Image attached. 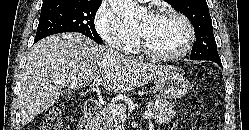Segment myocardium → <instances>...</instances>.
Listing matches in <instances>:
<instances>
[{"instance_id":"myocardium-1","label":"myocardium","mask_w":249,"mask_h":130,"mask_svg":"<svg viewBox=\"0 0 249 130\" xmlns=\"http://www.w3.org/2000/svg\"><path fill=\"white\" fill-rule=\"evenodd\" d=\"M150 15L153 17L171 16L179 19L186 27L187 39L179 50L169 54H160L151 50L145 37L139 31H136L138 46L143 55L155 61H172L184 56L191 49L196 38L195 29L190 19L174 9H159L153 11Z\"/></svg>"}]
</instances>
